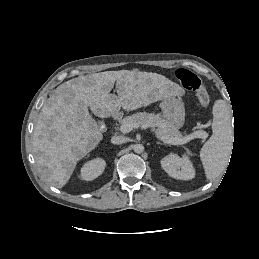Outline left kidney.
Segmentation results:
<instances>
[{
  "mask_svg": "<svg viewBox=\"0 0 259 259\" xmlns=\"http://www.w3.org/2000/svg\"><path fill=\"white\" fill-rule=\"evenodd\" d=\"M161 166L171 177L179 180H190L195 177V170L187 155L182 157L170 154L161 160Z\"/></svg>",
  "mask_w": 259,
  "mask_h": 259,
  "instance_id": "left-kidney-1",
  "label": "left kidney"
}]
</instances>
